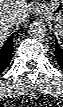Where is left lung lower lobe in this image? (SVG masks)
Here are the masks:
<instances>
[{"label":"left lung lower lobe","instance_id":"0a47b994","mask_svg":"<svg viewBox=\"0 0 63 107\" xmlns=\"http://www.w3.org/2000/svg\"><path fill=\"white\" fill-rule=\"evenodd\" d=\"M55 43H56V47H55V51H54L55 58H56L58 64L63 68V49L60 48L57 41Z\"/></svg>","mask_w":63,"mask_h":107}]
</instances>
